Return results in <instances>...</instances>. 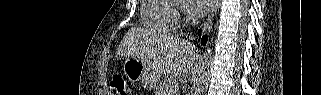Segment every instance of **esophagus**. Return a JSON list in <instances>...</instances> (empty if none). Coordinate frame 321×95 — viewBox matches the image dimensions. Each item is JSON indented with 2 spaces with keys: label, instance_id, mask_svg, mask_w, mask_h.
Here are the masks:
<instances>
[{
  "label": "esophagus",
  "instance_id": "esophagus-1",
  "mask_svg": "<svg viewBox=\"0 0 321 95\" xmlns=\"http://www.w3.org/2000/svg\"><path fill=\"white\" fill-rule=\"evenodd\" d=\"M219 6V0H215L213 2V5H212V8H211V11H210V14L206 20V22L204 23V27H203V31H208L210 29V26H211V23H212V20L217 12V8Z\"/></svg>",
  "mask_w": 321,
  "mask_h": 95
}]
</instances>
